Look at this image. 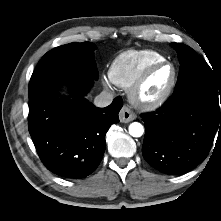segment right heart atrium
<instances>
[{"label": "right heart atrium", "mask_w": 221, "mask_h": 221, "mask_svg": "<svg viewBox=\"0 0 221 221\" xmlns=\"http://www.w3.org/2000/svg\"><path fill=\"white\" fill-rule=\"evenodd\" d=\"M103 83L106 85V86H109L110 85V80L108 78H103Z\"/></svg>", "instance_id": "obj_1"}]
</instances>
